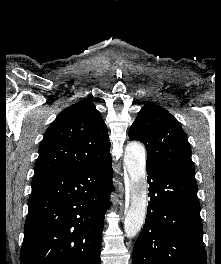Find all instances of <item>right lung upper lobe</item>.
<instances>
[{"label": "right lung upper lobe", "instance_id": "1", "mask_svg": "<svg viewBox=\"0 0 221 264\" xmlns=\"http://www.w3.org/2000/svg\"><path fill=\"white\" fill-rule=\"evenodd\" d=\"M107 127L90 100L64 109L46 130L33 178L91 167L110 155Z\"/></svg>", "mask_w": 221, "mask_h": 264}]
</instances>
